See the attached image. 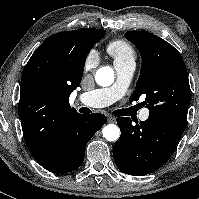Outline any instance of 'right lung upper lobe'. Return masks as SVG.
Segmentation results:
<instances>
[{"label": "right lung upper lobe", "mask_w": 199, "mask_h": 199, "mask_svg": "<svg viewBox=\"0 0 199 199\" xmlns=\"http://www.w3.org/2000/svg\"><path fill=\"white\" fill-rule=\"evenodd\" d=\"M105 30L84 28L49 36L26 64L18 105L25 142L39 143L56 135L65 120L78 114L69 96L81 82L90 37ZM100 38V39H101ZM99 39V40H100Z\"/></svg>", "instance_id": "right-lung-upper-lobe-1"}]
</instances>
